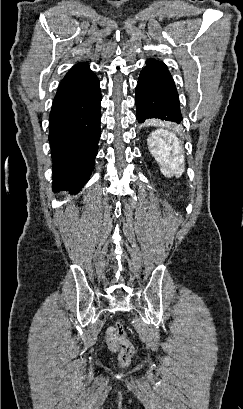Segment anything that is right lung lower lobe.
Here are the masks:
<instances>
[{"instance_id": "right-lung-lower-lobe-1", "label": "right lung lower lobe", "mask_w": 243, "mask_h": 409, "mask_svg": "<svg viewBox=\"0 0 243 409\" xmlns=\"http://www.w3.org/2000/svg\"><path fill=\"white\" fill-rule=\"evenodd\" d=\"M101 90L90 67L70 70L49 117L53 189L78 192L94 168L100 132Z\"/></svg>"}]
</instances>
